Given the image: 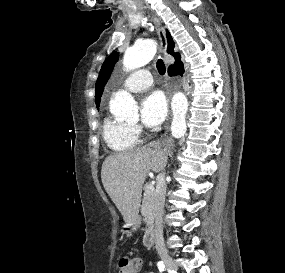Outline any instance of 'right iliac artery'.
Wrapping results in <instances>:
<instances>
[{
  "label": "right iliac artery",
  "mask_w": 285,
  "mask_h": 273,
  "mask_svg": "<svg viewBox=\"0 0 285 273\" xmlns=\"http://www.w3.org/2000/svg\"><path fill=\"white\" fill-rule=\"evenodd\" d=\"M157 266H158L159 271H164L166 269L165 264H164L163 261H159L157 263Z\"/></svg>",
  "instance_id": "1"
}]
</instances>
